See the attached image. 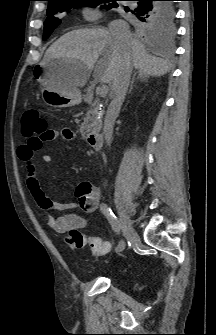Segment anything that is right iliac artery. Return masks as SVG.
I'll return each mask as SVG.
<instances>
[{
  "label": "right iliac artery",
  "instance_id": "1",
  "mask_svg": "<svg viewBox=\"0 0 216 335\" xmlns=\"http://www.w3.org/2000/svg\"><path fill=\"white\" fill-rule=\"evenodd\" d=\"M100 210L105 215V217L108 219L113 231L117 234H120L121 225L117 217L112 212L111 208L107 204L102 203L100 206ZM124 248H125V242L122 238H120L115 251L116 253H121L124 250Z\"/></svg>",
  "mask_w": 216,
  "mask_h": 335
}]
</instances>
